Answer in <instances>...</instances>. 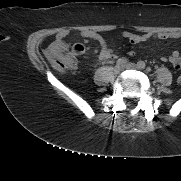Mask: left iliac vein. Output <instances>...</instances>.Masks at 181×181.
Wrapping results in <instances>:
<instances>
[{
	"instance_id": "obj_1",
	"label": "left iliac vein",
	"mask_w": 181,
	"mask_h": 181,
	"mask_svg": "<svg viewBox=\"0 0 181 181\" xmlns=\"http://www.w3.org/2000/svg\"><path fill=\"white\" fill-rule=\"evenodd\" d=\"M125 68L127 69H135V68H139L136 64L134 63H128Z\"/></svg>"
}]
</instances>
